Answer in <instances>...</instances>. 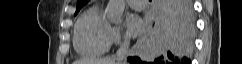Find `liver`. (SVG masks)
I'll use <instances>...</instances> for the list:
<instances>
[{"instance_id": "liver-1", "label": "liver", "mask_w": 242, "mask_h": 64, "mask_svg": "<svg viewBox=\"0 0 242 64\" xmlns=\"http://www.w3.org/2000/svg\"><path fill=\"white\" fill-rule=\"evenodd\" d=\"M73 64H117L114 59L100 58V59H80Z\"/></svg>"}]
</instances>
